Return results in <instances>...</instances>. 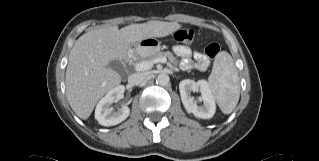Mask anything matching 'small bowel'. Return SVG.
I'll use <instances>...</instances> for the list:
<instances>
[{
	"label": "small bowel",
	"instance_id": "obj_1",
	"mask_svg": "<svg viewBox=\"0 0 319 161\" xmlns=\"http://www.w3.org/2000/svg\"><path fill=\"white\" fill-rule=\"evenodd\" d=\"M176 56L180 58V67L183 70H190L193 68H198L200 70H206L209 61L200 52H193L189 47L184 45H177L173 48ZM194 60V61H193Z\"/></svg>",
	"mask_w": 319,
	"mask_h": 161
}]
</instances>
